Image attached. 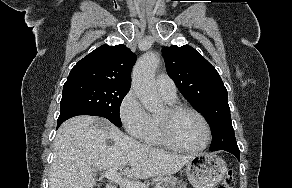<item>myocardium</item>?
<instances>
[{
	"label": "myocardium",
	"mask_w": 292,
	"mask_h": 188,
	"mask_svg": "<svg viewBox=\"0 0 292 188\" xmlns=\"http://www.w3.org/2000/svg\"><path fill=\"white\" fill-rule=\"evenodd\" d=\"M166 115L164 117H158L156 118L157 120V127L159 131V135L162 138V140L166 143V145L179 150L183 152H189V153H196L205 150L212 138V131H211V126L207 120V118L197 109L182 105V104H170L166 108ZM189 112L194 115H196L203 123L206 131V138L205 141L202 145L194 148L186 147L180 144L176 138L174 137L172 133V121L175 117L178 115Z\"/></svg>",
	"instance_id": "myocardium-1"
}]
</instances>
